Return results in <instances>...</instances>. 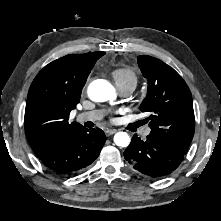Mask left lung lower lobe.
Instances as JSON below:
<instances>
[{
	"mask_svg": "<svg viewBox=\"0 0 221 221\" xmlns=\"http://www.w3.org/2000/svg\"><path fill=\"white\" fill-rule=\"evenodd\" d=\"M184 156L150 135L146 141L134 135L124 152L125 159L132 167L150 178H160L170 174L180 165Z\"/></svg>",
	"mask_w": 221,
	"mask_h": 221,
	"instance_id": "left-lung-lower-lobe-1",
	"label": "left lung lower lobe"
}]
</instances>
